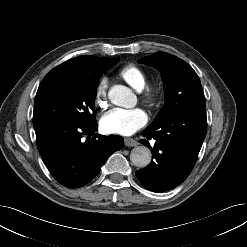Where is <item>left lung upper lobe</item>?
<instances>
[{"instance_id":"obj_1","label":"left lung upper lobe","mask_w":247,"mask_h":247,"mask_svg":"<svg viewBox=\"0 0 247 247\" xmlns=\"http://www.w3.org/2000/svg\"><path fill=\"white\" fill-rule=\"evenodd\" d=\"M139 62L158 68L164 81L165 105L149 127L180 113L205 111V97L199 77L185 61L165 52H157L143 57Z\"/></svg>"}]
</instances>
